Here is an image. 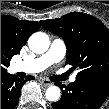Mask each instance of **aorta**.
<instances>
[{
  "label": "aorta",
  "mask_w": 109,
  "mask_h": 109,
  "mask_svg": "<svg viewBox=\"0 0 109 109\" xmlns=\"http://www.w3.org/2000/svg\"><path fill=\"white\" fill-rule=\"evenodd\" d=\"M30 50L37 54L45 53L50 46V39L46 33L36 32L28 39ZM46 99L51 102H56L61 97L60 88L57 86H49L45 92Z\"/></svg>",
  "instance_id": "aorta-1"
}]
</instances>
